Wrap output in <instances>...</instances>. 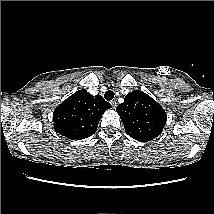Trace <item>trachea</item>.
<instances>
[{"label":"trachea","instance_id":"obj_1","mask_svg":"<svg viewBox=\"0 0 214 214\" xmlns=\"http://www.w3.org/2000/svg\"><path fill=\"white\" fill-rule=\"evenodd\" d=\"M104 98H105L107 101L112 100V99L114 98V92L111 91V90L105 92Z\"/></svg>","mask_w":214,"mask_h":214}]
</instances>
